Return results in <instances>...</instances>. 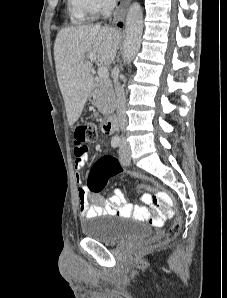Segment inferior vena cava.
Wrapping results in <instances>:
<instances>
[{
  "instance_id": "obj_1",
  "label": "inferior vena cava",
  "mask_w": 227,
  "mask_h": 298,
  "mask_svg": "<svg viewBox=\"0 0 227 298\" xmlns=\"http://www.w3.org/2000/svg\"><path fill=\"white\" fill-rule=\"evenodd\" d=\"M115 5H116L115 0H104L102 13L105 18H108L111 15ZM114 85H115V93L117 96V118L119 121V126L121 131H124L126 122H127L126 97H125L124 88L120 85L118 81V70H117V75L114 78ZM122 139H124L123 135H122Z\"/></svg>"
}]
</instances>
